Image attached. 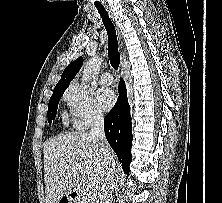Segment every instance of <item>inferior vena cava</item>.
Here are the masks:
<instances>
[{"instance_id":"1","label":"inferior vena cava","mask_w":222,"mask_h":203,"mask_svg":"<svg viewBox=\"0 0 222 203\" xmlns=\"http://www.w3.org/2000/svg\"><path fill=\"white\" fill-rule=\"evenodd\" d=\"M89 137L99 142L100 151L105 162V169L94 186L92 203H108V191L111 189L114 180L115 162L110 155L109 145L104 133V117L101 112L93 114Z\"/></svg>"}]
</instances>
